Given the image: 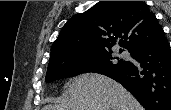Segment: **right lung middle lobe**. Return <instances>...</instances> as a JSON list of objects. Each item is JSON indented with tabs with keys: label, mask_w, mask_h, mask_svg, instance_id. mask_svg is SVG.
Instances as JSON below:
<instances>
[{
	"label": "right lung middle lobe",
	"mask_w": 171,
	"mask_h": 110,
	"mask_svg": "<svg viewBox=\"0 0 171 110\" xmlns=\"http://www.w3.org/2000/svg\"><path fill=\"white\" fill-rule=\"evenodd\" d=\"M111 53V49H105L54 57L49 62L45 82L72 77L83 72L105 74L131 64L129 61L113 57Z\"/></svg>",
	"instance_id": "right-lung-middle-lobe-1"
}]
</instances>
